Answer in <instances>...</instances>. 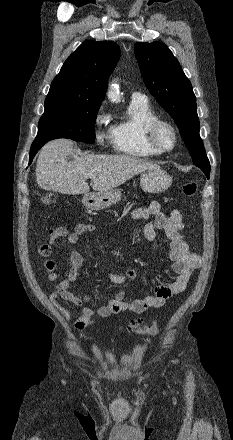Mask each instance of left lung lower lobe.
<instances>
[{"mask_svg": "<svg viewBox=\"0 0 233 440\" xmlns=\"http://www.w3.org/2000/svg\"><path fill=\"white\" fill-rule=\"evenodd\" d=\"M207 176V178H209V174H210V164H198L197 165Z\"/></svg>", "mask_w": 233, "mask_h": 440, "instance_id": "obj_1", "label": "left lung lower lobe"}]
</instances>
